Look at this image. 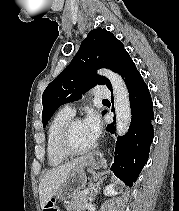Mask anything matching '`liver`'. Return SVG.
<instances>
[{
	"mask_svg": "<svg viewBox=\"0 0 179 211\" xmlns=\"http://www.w3.org/2000/svg\"><path fill=\"white\" fill-rule=\"evenodd\" d=\"M86 162L85 157L78 158L59 167L46 171L39 184V200L41 208L57 194L61 186L67 180L71 171Z\"/></svg>",
	"mask_w": 179,
	"mask_h": 211,
	"instance_id": "6515ba94",
	"label": "liver"
}]
</instances>
